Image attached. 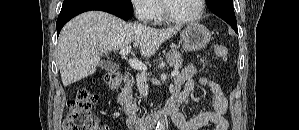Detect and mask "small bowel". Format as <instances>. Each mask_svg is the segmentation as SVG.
<instances>
[{
  "instance_id": "small-bowel-1",
  "label": "small bowel",
  "mask_w": 299,
  "mask_h": 130,
  "mask_svg": "<svg viewBox=\"0 0 299 130\" xmlns=\"http://www.w3.org/2000/svg\"><path fill=\"white\" fill-rule=\"evenodd\" d=\"M197 72L198 68L193 64L186 66L181 71L176 79L178 85L184 84V89L180 94H185L187 96L197 83L206 86L210 91V104L212 110L201 112L189 119L183 114L178 113L173 119L174 124L179 130H199L209 123L215 125L214 130H228V121L224 117L228 109V101L224 96L220 85L205 77L195 80ZM105 128L109 130L107 125H105Z\"/></svg>"
}]
</instances>
